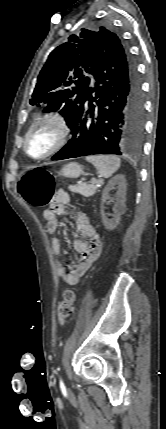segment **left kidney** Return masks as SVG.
I'll list each match as a JSON object with an SVG mask.
<instances>
[{"label": "left kidney", "instance_id": "left-kidney-1", "mask_svg": "<svg viewBox=\"0 0 166 429\" xmlns=\"http://www.w3.org/2000/svg\"><path fill=\"white\" fill-rule=\"evenodd\" d=\"M115 186H117L118 191L116 194V204L113 208V219L109 220L104 212V203L106 200L111 199L109 196L110 190H112ZM126 179L124 175L119 174L111 178L103 190L102 198H101V217L104 227L107 230H114L120 222L121 215L126 211Z\"/></svg>", "mask_w": 166, "mask_h": 429}]
</instances>
